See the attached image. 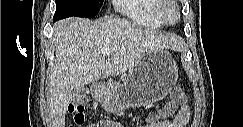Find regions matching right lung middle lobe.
Segmentation results:
<instances>
[{
	"label": "right lung middle lobe",
	"mask_w": 243,
	"mask_h": 127,
	"mask_svg": "<svg viewBox=\"0 0 243 127\" xmlns=\"http://www.w3.org/2000/svg\"><path fill=\"white\" fill-rule=\"evenodd\" d=\"M103 0H56V12L53 19L66 17L94 18L99 12Z\"/></svg>",
	"instance_id": "right-lung-middle-lobe-1"
}]
</instances>
